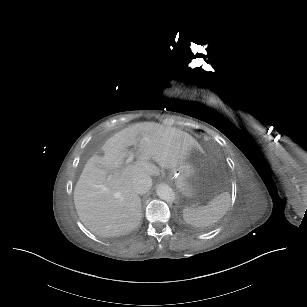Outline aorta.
<instances>
[{
	"mask_svg": "<svg viewBox=\"0 0 307 307\" xmlns=\"http://www.w3.org/2000/svg\"><path fill=\"white\" fill-rule=\"evenodd\" d=\"M157 196L164 201H172L175 198L173 189L164 183H161L156 188Z\"/></svg>",
	"mask_w": 307,
	"mask_h": 307,
	"instance_id": "aorta-1",
	"label": "aorta"
}]
</instances>
